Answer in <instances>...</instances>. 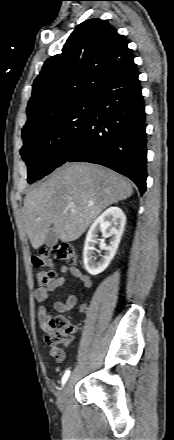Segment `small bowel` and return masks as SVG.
<instances>
[{
  "mask_svg": "<svg viewBox=\"0 0 174 440\" xmlns=\"http://www.w3.org/2000/svg\"><path fill=\"white\" fill-rule=\"evenodd\" d=\"M61 272L65 275L71 274L77 280H79L84 287L89 288L91 286L90 278L84 274V272L75 266H61ZM65 283V278L58 277L56 278L52 284L47 287H39L35 290V299L40 304L38 308V320L42 329L46 330L47 322L49 320L48 310L45 306V303L49 299L50 292L56 290L57 288L63 286ZM78 303V298L75 295H69L66 297L64 301H56L53 304V308L55 311L64 313L73 309ZM87 309L86 304H81L79 306V312L83 313ZM50 355L55 359L57 363H61L64 360V352L61 349L51 348Z\"/></svg>",
  "mask_w": 174,
  "mask_h": 440,
  "instance_id": "c3829d8e",
  "label": "small bowel"
}]
</instances>
